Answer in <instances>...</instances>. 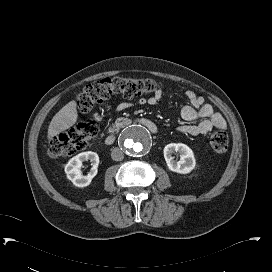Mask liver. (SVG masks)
<instances>
[{
    "label": "liver",
    "instance_id": "6515ba94",
    "mask_svg": "<svg viewBox=\"0 0 272 272\" xmlns=\"http://www.w3.org/2000/svg\"><path fill=\"white\" fill-rule=\"evenodd\" d=\"M77 103L73 100L62 107L52 118L48 127V140L72 127L78 118Z\"/></svg>",
    "mask_w": 272,
    "mask_h": 272
}]
</instances>
